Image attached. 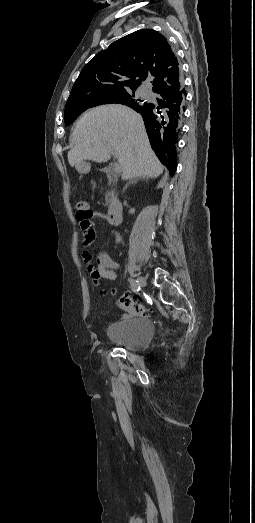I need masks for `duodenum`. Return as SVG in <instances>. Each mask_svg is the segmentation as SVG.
Instances as JSON below:
<instances>
[{"mask_svg": "<svg viewBox=\"0 0 255 523\" xmlns=\"http://www.w3.org/2000/svg\"><path fill=\"white\" fill-rule=\"evenodd\" d=\"M102 170L106 173H111L113 167L109 165L104 167ZM107 221L112 226H118L122 221V205L116 200H112L110 204L107 212Z\"/></svg>", "mask_w": 255, "mask_h": 523, "instance_id": "410a0bca", "label": "duodenum"}]
</instances>
